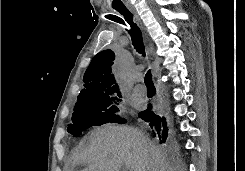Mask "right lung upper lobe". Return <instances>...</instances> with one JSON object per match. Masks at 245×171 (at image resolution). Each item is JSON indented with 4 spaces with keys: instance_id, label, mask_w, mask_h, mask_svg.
Wrapping results in <instances>:
<instances>
[{
    "instance_id": "obj_1",
    "label": "right lung upper lobe",
    "mask_w": 245,
    "mask_h": 171,
    "mask_svg": "<svg viewBox=\"0 0 245 171\" xmlns=\"http://www.w3.org/2000/svg\"><path fill=\"white\" fill-rule=\"evenodd\" d=\"M115 56L113 51L104 50L95 55L84 74V89L80 92L78 100H85L101 95L119 94L118 85L115 84L111 74V66Z\"/></svg>"
}]
</instances>
